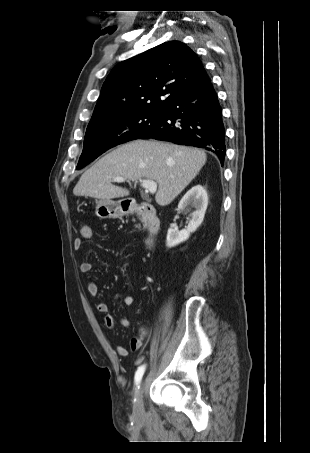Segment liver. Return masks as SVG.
<instances>
[{
  "label": "liver",
  "instance_id": "6515ba94",
  "mask_svg": "<svg viewBox=\"0 0 310 453\" xmlns=\"http://www.w3.org/2000/svg\"><path fill=\"white\" fill-rule=\"evenodd\" d=\"M206 154L197 148L156 140H135L123 144L99 159L80 177L73 189L75 196L113 199L129 191L113 185V177L127 180H153L158 183L155 200L170 204L196 177L206 163Z\"/></svg>",
  "mask_w": 310,
  "mask_h": 453
}]
</instances>
